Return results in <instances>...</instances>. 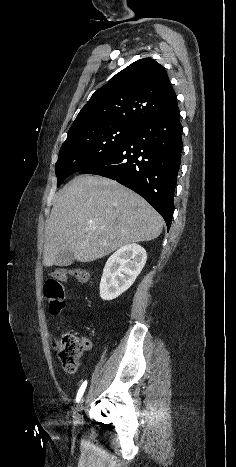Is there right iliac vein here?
Masks as SVG:
<instances>
[{
    "mask_svg": "<svg viewBox=\"0 0 236 467\" xmlns=\"http://www.w3.org/2000/svg\"><path fill=\"white\" fill-rule=\"evenodd\" d=\"M85 401V398L83 397L80 401V403L78 404L77 408H76V414L74 416V421H75V424L78 425V424H81L82 421H83V418H82V415L80 414V412L82 411L83 409V403Z\"/></svg>",
    "mask_w": 236,
    "mask_h": 467,
    "instance_id": "right-iliac-vein-1",
    "label": "right iliac vein"
}]
</instances>
